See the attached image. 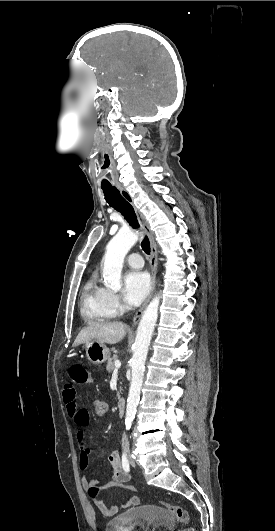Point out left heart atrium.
<instances>
[{
    "mask_svg": "<svg viewBox=\"0 0 275 531\" xmlns=\"http://www.w3.org/2000/svg\"><path fill=\"white\" fill-rule=\"evenodd\" d=\"M150 288L149 274L142 269H132L123 278V294L131 305H138L145 298Z\"/></svg>",
    "mask_w": 275,
    "mask_h": 531,
    "instance_id": "left-heart-atrium-1",
    "label": "left heart atrium"
}]
</instances>
